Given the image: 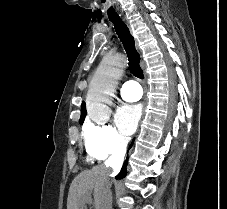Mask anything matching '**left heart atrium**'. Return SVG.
I'll return each instance as SVG.
<instances>
[{
	"mask_svg": "<svg viewBox=\"0 0 227 209\" xmlns=\"http://www.w3.org/2000/svg\"><path fill=\"white\" fill-rule=\"evenodd\" d=\"M141 103H123L117 109L115 120L120 131L127 136L132 135L142 115Z\"/></svg>",
	"mask_w": 227,
	"mask_h": 209,
	"instance_id": "39dd6f15",
	"label": "left heart atrium"
}]
</instances>
